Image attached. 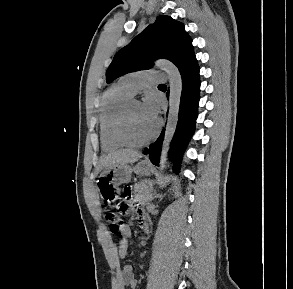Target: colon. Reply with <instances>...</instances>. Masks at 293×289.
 Segmentation results:
<instances>
[{
	"instance_id": "5ec220e1",
	"label": "colon",
	"mask_w": 293,
	"mask_h": 289,
	"mask_svg": "<svg viewBox=\"0 0 293 289\" xmlns=\"http://www.w3.org/2000/svg\"><path fill=\"white\" fill-rule=\"evenodd\" d=\"M131 196V189L126 187L124 189V199L121 200L118 204L117 211L105 210V219L108 224L110 231L113 234H121L123 229V222L120 219L119 215H129L136 214L138 215L140 210L129 200Z\"/></svg>"
}]
</instances>
